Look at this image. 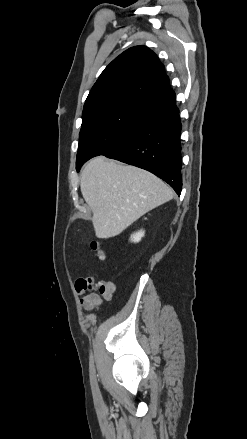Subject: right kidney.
<instances>
[{
    "mask_svg": "<svg viewBox=\"0 0 247 439\" xmlns=\"http://www.w3.org/2000/svg\"><path fill=\"white\" fill-rule=\"evenodd\" d=\"M143 236H144V231L140 230V231L134 233L133 235H131L130 240H131V242L137 243V242H139L141 240V238Z\"/></svg>",
    "mask_w": 247,
    "mask_h": 439,
    "instance_id": "1",
    "label": "right kidney"
}]
</instances>
